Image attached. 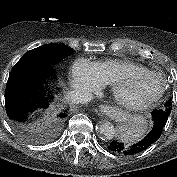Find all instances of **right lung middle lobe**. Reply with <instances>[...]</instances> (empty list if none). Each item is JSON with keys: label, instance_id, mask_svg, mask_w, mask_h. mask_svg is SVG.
Masks as SVG:
<instances>
[{"label": "right lung middle lobe", "instance_id": "right-lung-middle-lobe-1", "mask_svg": "<svg viewBox=\"0 0 177 177\" xmlns=\"http://www.w3.org/2000/svg\"><path fill=\"white\" fill-rule=\"evenodd\" d=\"M75 51L65 45L59 44H45L43 46L32 49L24 54V58L32 57L41 59L45 62H48L52 65L59 63L61 60L67 56H71ZM64 118H56V123L60 125L63 122Z\"/></svg>", "mask_w": 177, "mask_h": 177}]
</instances>
